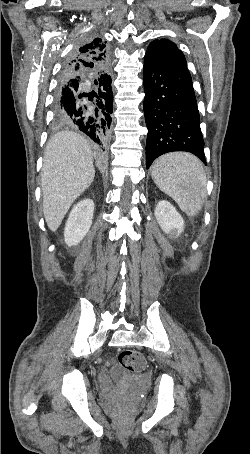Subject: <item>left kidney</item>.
I'll return each mask as SVG.
<instances>
[{"label": "left kidney", "mask_w": 250, "mask_h": 454, "mask_svg": "<svg viewBox=\"0 0 250 454\" xmlns=\"http://www.w3.org/2000/svg\"><path fill=\"white\" fill-rule=\"evenodd\" d=\"M154 214L161 229L166 234L177 232V236H179L184 231L182 216L169 202L160 201L155 208Z\"/></svg>", "instance_id": "5707ae66"}]
</instances>
